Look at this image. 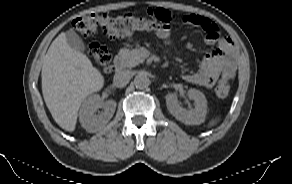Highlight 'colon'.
Masks as SVG:
<instances>
[{
	"label": "colon",
	"instance_id": "5ec220e1",
	"mask_svg": "<svg viewBox=\"0 0 292 184\" xmlns=\"http://www.w3.org/2000/svg\"><path fill=\"white\" fill-rule=\"evenodd\" d=\"M171 19L172 16L167 10L152 9L149 10L147 16L131 13L119 16L83 15L73 21V26L83 36H92L102 32L111 38H120L135 32H161L168 28ZM89 53L105 72L110 71L111 55L106 47L93 43L89 46ZM215 92L221 99L228 97L230 93L228 82L221 79L215 87Z\"/></svg>",
	"mask_w": 292,
	"mask_h": 184
}]
</instances>
